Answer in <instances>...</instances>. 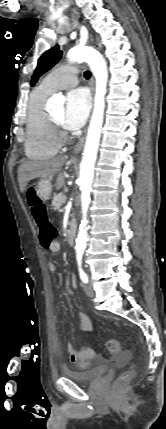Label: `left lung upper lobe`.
Here are the masks:
<instances>
[{
	"instance_id": "1",
	"label": "left lung upper lobe",
	"mask_w": 166,
	"mask_h": 429,
	"mask_svg": "<svg viewBox=\"0 0 166 429\" xmlns=\"http://www.w3.org/2000/svg\"><path fill=\"white\" fill-rule=\"evenodd\" d=\"M62 51L56 45L42 54L31 78V86H34L39 77L50 70L61 58Z\"/></svg>"
}]
</instances>
